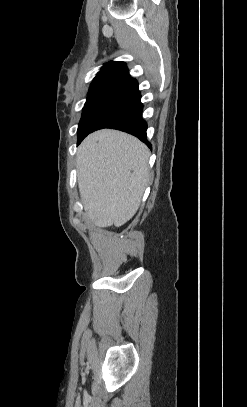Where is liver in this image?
Here are the masks:
<instances>
[{
    "label": "liver",
    "instance_id": "liver-1",
    "mask_svg": "<svg viewBox=\"0 0 247 407\" xmlns=\"http://www.w3.org/2000/svg\"><path fill=\"white\" fill-rule=\"evenodd\" d=\"M149 151L137 138L103 129L77 152L78 186L85 217L97 226H122L140 206L149 179Z\"/></svg>",
    "mask_w": 247,
    "mask_h": 407
}]
</instances>
